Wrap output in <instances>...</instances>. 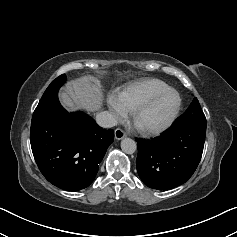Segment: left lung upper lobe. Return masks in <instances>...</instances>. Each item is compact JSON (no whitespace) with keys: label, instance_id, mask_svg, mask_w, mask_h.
Returning a JSON list of instances; mask_svg holds the SVG:
<instances>
[{"label":"left lung upper lobe","instance_id":"obj_1","mask_svg":"<svg viewBox=\"0 0 237 237\" xmlns=\"http://www.w3.org/2000/svg\"><path fill=\"white\" fill-rule=\"evenodd\" d=\"M174 124L206 127V118L197 98L193 99L188 109L174 122Z\"/></svg>","mask_w":237,"mask_h":237}]
</instances>
